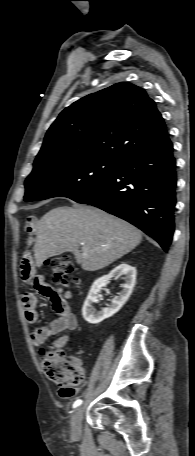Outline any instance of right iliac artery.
<instances>
[{
	"label": "right iliac artery",
	"mask_w": 195,
	"mask_h": 456,
	"mask_svg": "<svg viewBox=\"0 0 195 456\" xmlns=\"http://www.w3.org/2000/svg\"><path fill=\"white\" fill-rule=\"evenodd\" d=\"M82 404V400H76L73 404V408H77L78 406H80Z\"/></svg>",
	"instance_id": "right-iliac-artery-1"
}]
</instances>
